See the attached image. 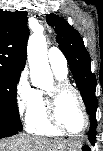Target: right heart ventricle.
I'll return each mask as SVG.
<instances>
[{
    "mask_svg": "<svg viewBox=\"0 0 103 151\" xmlns=\"http://www.w3.org/2000/svg\"><path fill=\"white\" fill-rule=\"evenodd\" d=\"M52 69L57 80L66 81L67 72H62L55 68ZM25 116V128L27 132L48 137H59L63 135L60 131L55 130L47 120L45 93L43 91L34 90L32 106Z\"/></svg>",
    "mask_w": 103,
    "mask_h": 151,
    "instance_id": "right-heart-ventricle-1",
    "label": "right heart ventricle"
}]
</instances>
